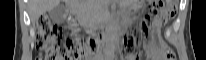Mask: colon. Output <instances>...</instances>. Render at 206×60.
Wrapping results in <instances>:
<instances>
[{
  "label": "colon",
  "mask_w": 206,
  "mask_h": 60,
  "mask_svg": "<svg viewBox=\"0 0 206 60\" xmlns=\"http://www.w3.org/2000/svg\"><path fill=\"white\" fill-rule=\"evenodd\" d=\"M176 1H155L150 11L153 14L161 13L165 19L173 15ZM144 28L146 26L144 25ZM62 32L58 25L54 24L48 16L43 15L37 21V60H83L89 56L90 52L95 50V40L88 34L81 31H75L72 35L66 37L61 43ZM137 42L134 37L125 44L126 49H133ZM162 55L167 60L174 59L173 51L163 46Z\"/></svg>",
  "instance_id": "obj_1"
}]
</instances>
